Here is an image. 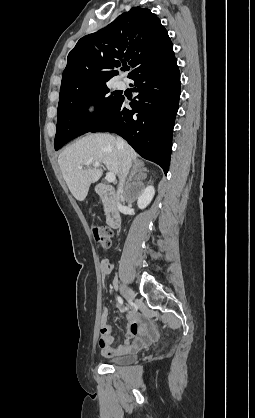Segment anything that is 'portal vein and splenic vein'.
<instances>
[{"label":"portal vein and splenic vein","instance_id":"portal-vein-and-splenic-vein-1","mask_svg":"<svg viewBox=\"0 0 255 418\" xmlns=\"http://www.w3.org/2000/svg\"><path fill=\"white\" fill-rule=\"evenodd\" d=\"M93 167L99 168L100 167V164L99 163H95V164H93ZM79 168L81 169L82 167H79ZM105 179L107 180V182L112 183V182L115 181L116 177H115V174L114 173L108 172V173H106Z\"/></svg>","mask_w":255,"mask_h":418}]
</instances>
